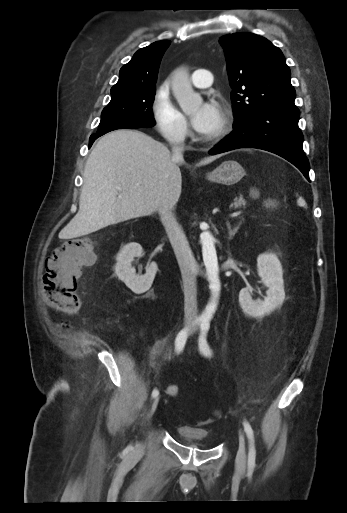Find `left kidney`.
I'll list each match as a JSON object with an SVG mask.
<instances>
[{"instance_id":"obj_1","label":"left kidney","mask_w":347,"mask_h":513,"mask_svg":"<svg viewBox=\"0 0 347 513\" xmlns=\"http://www.w3.org/2000/svg\"><path fill=\"white\" fill-rule=\"evenodd\" d=\"M257 272L268 288L264 301L252 299V287L243 288L239 293V302L243 311L256 318L272 313L285 299L284 280L281 263L273 253H263L257 258Z\"/></svg>"}]
</instances>
